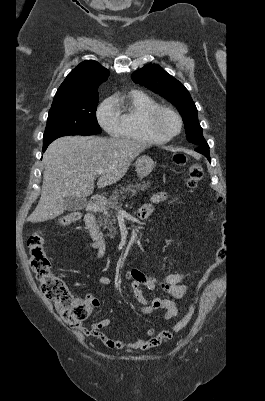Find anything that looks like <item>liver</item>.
<instances>
[{"instance_id":"liver-1","label":"liver","mask_w":265,"mask_h":401,"mask_svg":"<svg viewBox=\"0 0 265 401\" xmlns=\"http://www.w3.org/2000/svg\"><path fill=\"white\" fill-rule=\"evenodd\" d=\"M151 146L130 138L102 136H62L49 144L43 154L44 172L40 201L28 217L43 223L64 213L65 196H89L94 190L97 170L98 188L113 184L126 174L132 160Z\"/></svg>"}]
</instances>
